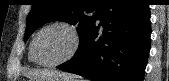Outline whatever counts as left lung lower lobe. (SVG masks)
<instances>
[{
	"label": "left lung lower lobe",
	"instance_id": "obj_1",
	"mask_svg": "<svg viewBox=\"0 0 169 81\" xmlns=\"http://www.w3.org/2000/svg\"><path fill=\"white\" fill-rule=\"evenodd\" d=\"M74 57L58 69L93 81H143L150 51V10L143 0H106Z\"/></svg>",
	"mask_w": 169,
	"mask_h": 81
}]
</instances>
